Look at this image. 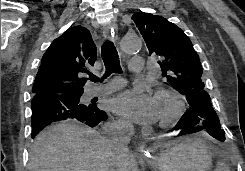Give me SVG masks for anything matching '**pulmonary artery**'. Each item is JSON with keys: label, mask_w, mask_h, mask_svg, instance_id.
<instances>
[{"label": "pulmonary artery", "mask_w": 245, "mask_h": 171, "mask_svg": "<svg viewBox=\"0 0 245 171\" xmlns=\"http://www.w3.org/2000/svg\"><path fill=\"white\" fill-rule=\"evenodd\" d=\"M130 70L135 73L142 72L143 71V59L141 57H133L132 61L130 62ZM123 85H124V80L117 77L102 87L90 88L88 90V96L92 97L95 95H103V94L112 93L122 88Z\"/></svg>", "instance_id": "obj_1"}]
</instances>
